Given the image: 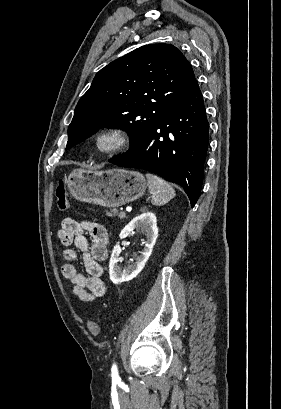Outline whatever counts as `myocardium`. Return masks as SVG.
Listing matches in <instances>:
<instances>
[{
	"mask_svg": "<svg viewBox=\"0 0 281 409\" xmlns=\"http://www.w3.org/2000/svg\"><path fill=\"white\" fill-rule=\"evenodd\" d=\"M129 143L128 134L119 127L101 130L95 137V148L102 154H113L121 151Z\"/></svg>",
	"mask_w": 281,
	"mask_h": 409,
	"instance_id": "obj_1",
	"label": "myocardium"
}]
</instances>
